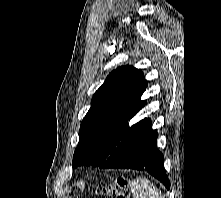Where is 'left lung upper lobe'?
<instances>
[{"mask_svg":"<svg viewBox=\"0 0 221 198\" xmlns=\"http://www.w3.org/2000/svg\"><path fill=\"white\" fill-rule=\"evenodd\" d=\"M147 81L133 66L112 71L91 100V108L82 120L73 166L100 167L106 159L148 119L130 126V120L144 107L141 95Z\"/></svg>","mask_w":221,"mask_h":198,"instance_id":"obj_1","label":"left lung upper lobe"}]
</instances>
